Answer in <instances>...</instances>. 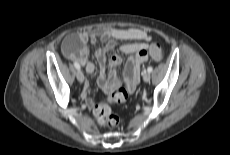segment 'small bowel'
<instances>
[{
  "instance_id": "1",
  "label": "small bowel",
  "mask_w": 230,
  "mask_h": 155,
  "mask_svg": "<svg viewBox=\"0 0 230 155\" xmlns=\"http://www.w3.org/2000/svg\"><path fill=\"white\" fill-rule=\"evenodd\" d=\"M80 41V46H73L74 40ZM150 34L137 28H96L89 31H80L69 35L63 42L64 55L71 61L85 67L88 74H93L95 65L88 60L87 43L95 44L97 41L104 43L102 48L95 51L94 56L99 66L98 84L108 95L111 103L125 102L134 91L138 81L142 65L148 60V44ZM117 41H133L121 45L120 50L130 54L131 58L125 64L123 85L121 86L115 67L121 63L118 55H113L109 62V72H105L106 54L112 51ZM91 88L85 83L82 97L89 109L93 108L90 99Z\"/></svg>"
}]
</instances>
